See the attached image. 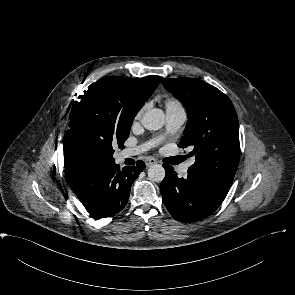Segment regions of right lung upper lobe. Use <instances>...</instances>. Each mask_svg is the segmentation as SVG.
Returning <instances> with one entry per match:
<instances>
[{"instance_id":"cb5924a9","label":"right lung upper lobe","mask_w":295,"mask_h":295,"mask_svg":"<svg viewBox=\"0 0 295 295\" xmlns=\"http://www.w3.org/2000/svg\"><path fill=\"white\" fill-rule=\"evenodd\" d=\"M138 85V90L141 97L146 101L156 89L161 81L159 76H147L140 79H135ZM64 148V165L68 183L71 184L86 167L91 165L81 155L77 148L66 138L63 139Z\"/></svg>"}]
</instances>
